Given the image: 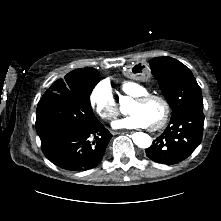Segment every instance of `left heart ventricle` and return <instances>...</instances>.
<instances>
[{"label": "left heart ventricle", "mask_w": 221, "mask_h": 221, "mask_svg": "<svg viewBox=\"0 0 221 221\" xmlns=\"http://www.w3.org/2000/svg\"><path fill=\"white\" fill-rule=\"evenodd\" d=\"M130 113L140 114L148 123L153 126L160 121L164 114V105L157 99H153L144 104L133 102L129 107Z\"/></svg>", "instance_id": "b2bd125f"}]
</instances>
